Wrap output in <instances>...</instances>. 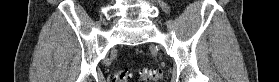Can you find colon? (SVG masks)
Returning a JSON list of instances; mask_svg holds the SVG:
<instances>
[{
  "label": "colon",
  "mask_w": 279,
  "mask_h": 82,
  "mask_svg": "<svg viewBox=\"0 0 279 82\" xmlns=\"http://www.w3.org/2000/svg\"><path fill=\"white\" fill-rule=\"evenodd\" d=\"M140 74L144 80H157L160 75V71L158 69H154L151 67L143 68L140 71ZM114 82H129L130 72L128 70H119L114 74Z\"/></svg>",
  "instance_id": "obj_1"
}]
</instances>
